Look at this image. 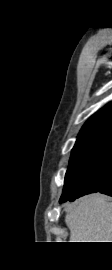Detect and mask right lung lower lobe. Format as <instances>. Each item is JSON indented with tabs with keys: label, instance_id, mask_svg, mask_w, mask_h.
<instances>
[{
	"label": "right lung lower lobe",
	"instance_id": "right-lung-lower-lobe-1",
	"mask_svg": "<svg viewBox=\"0 0 112 270\" xmlns=\"http://www.w3.org/2000/svg\"><path fill=\"white\" fill-rule=\"evenodd\" d=\"M82 183L85 192L81 196L93 192L112 196V145L99 164L82 177Z\"/></svg>",
	"mask_w": 112,
	"mask_h": 270
}]
</instances>
